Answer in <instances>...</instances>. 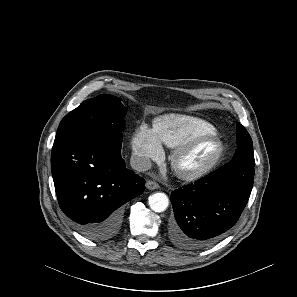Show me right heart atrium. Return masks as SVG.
<instances>
[{
  "label": "right heart atrium",
  "instance_id": "right-heart-atrium-1",
  "mask_svg": "<svg viewBox=\"0 0 297 297\" xmlns=\"http://www.w3.org/2000/svg\"><path fill=\"white\" fill-rule=\"evenodd\" d=\"M132 149L141 168L149 167L152 161L159 160L163 156L162 146L154 130L146 125L140 126L136 132Z\"/></svg>",
  "mask_w": 297,
  "mask_h": 297
}]
</instances>
